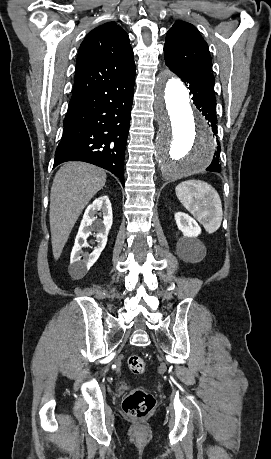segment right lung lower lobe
Returning a JSON list of instances; mask_svg holds the SVG:
<instances>
[{
	"mask_svg": "<svg viewBox=\"0 0 271 459\" xmlns=\"http://www.w3.org/2000/svg\"><path fill=\"white\" fill-rule=\"evenodd\" d=\"M134 82L135 73L118 77L69 105L53 168L67 161H84L109 170L124 185Z\"/></svg>",
	"mask_w": 271,
	"mask_h": 459,
	"instance_id": "1",
	"label": "right lung lower lobe"
}]
</instances>
